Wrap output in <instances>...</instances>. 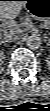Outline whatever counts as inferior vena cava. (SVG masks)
Returning <instances> with one entry per match:
<instances>
[{
  "mask_svg": "<svg viewBox=\"0 0 50 111\" xmlns=\"http://www.w3.org/2000/svg\"><path fill=\"white\" fill-rule=\"evenodd\" d=\"M21 38V33L19 30H11L4 34L3 40L4 42H13L17 41Z\"/></svg>",
  "mask_w": 50,
  "mask_h": 111,
  "instance_id": "602c4592",
  "label": "inferior vena cava"
}]
</instances>
